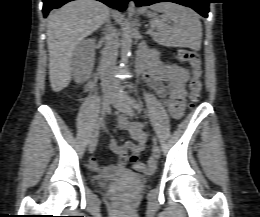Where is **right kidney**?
I'll use <instances>...</instances> for the list:
<instances>
[{
  "label": "right kidney",
  "instance_id": "ca27d5eb",
  "mask_svg": "<svg viewBox=\"0 0 260 217\" xmlns=\"http://www.w3.org/2000/svg\"><path fill=\"white\" fill-rule=\"evenodd\" d=\"M95 39L82 41L75 52L73 76L78 84L86 82L91 75L94 62Z\"/></svg>",
  "mask_w": 260,
  "mask_h": 217
}]
</instances>
